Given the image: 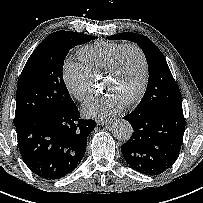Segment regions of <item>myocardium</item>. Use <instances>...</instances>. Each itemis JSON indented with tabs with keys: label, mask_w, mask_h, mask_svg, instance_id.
Returning a JSON list of instances; mask_svg holds the SVG:
<instances>
[{
	"label": "myocardium",
	"mask_w": 203,
	"mask_h": 203,
	"mask_svg": "<svg viewBox=\"0 0 203 203\" xmlns=\"http://www.w3.org/2000/svg\"><path fill=\"white\" fill-rule=\"evenodd\" d=\"M129 49H133V50L137 51V53L139 54V56L142 60L143 73H142V79H141L140 85L138 87V90L132 97H130L127 101L124 102L125 105H131V104L137 102L143 96V94L145 92V89H146V86L148 83V78H149V62H148V59H147V56H146L144 50L135 43L124 44L116 52V54L113 56V58L111 59V61L107 65V67L102 72V75L104 77H107V76L113 74L120 63V60H121L123 54Z\"/></svg>",
	"instance_id": "obj_1"
}]
</instances>
